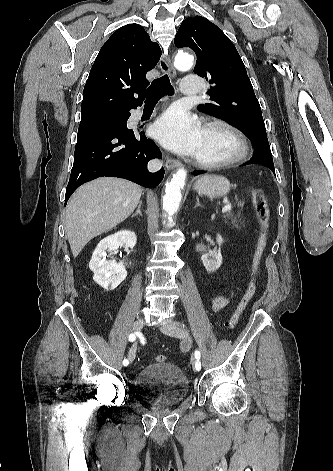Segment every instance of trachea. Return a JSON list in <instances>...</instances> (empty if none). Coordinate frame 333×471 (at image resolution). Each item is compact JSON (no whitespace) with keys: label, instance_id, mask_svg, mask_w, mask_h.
Listing matches in <instances>:
<instances>
[{"label":"trachea","instance_id":"1","mask_svg":"<svg viewBox=\"0 0 333 471\" xmlns=\"http://www.w3.org/2000/svg\"><path fill=\"white\" fill-rule=\"evenodd\" d=\"M174 89L167 74L155 79L145 93L146 102H157L164 95H173Z\"/></svg>","mask_w":333,"mask_h":471}]
</instances>
